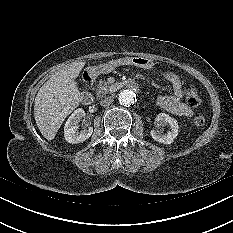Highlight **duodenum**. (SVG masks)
Listing matches in <instances>:
<instances>
[{"label":"duodenum","instance_id":"410a0bca","mask_svg":"<svg viewBox=\"0 0 233 233\" xmlns=\"http://www.w3.org/2000/svg\"><path fill=\"white\" fill-rule=\"evenodd\" d=\"M95 79H96L95 73H88V74H85V76H84V82L87 85L92 84L95 81ZM130 84L133 85L134 83H129V81L123 80L121 82L110 84V85L104 87L103 92H104V94L109 95V94H112L114 92L122 91L124 89L129 88ZM92 101H93L92 93L89 90H85L82 93L81 102L84 105H89L92 103Z\"/></svg>","mask_w":233,"mask_h":233}]
</instances>
